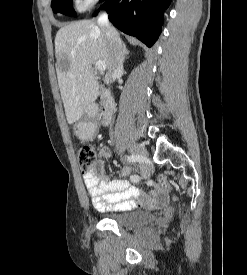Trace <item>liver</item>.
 Wrapping results in <instances>:
<instances>
[{
  "label": "liver",
  "instance_id": "obj_1",
  "mask_svg": "<svg viewBox=\"0 0 247 275\" xmlns=\"http://www.w3.org/2000/svg\"><path fill=\"white\" fill-rule=\"evenodd\" d=\"M56 72L67 122L78 121L99 94L93 64L103 61L110 81V51L101 27L91 20L70 23L55 37ZM65 61V68L61 61Z\"/></svg>",
  "mask_w": 247,
  "mask_h": 275
}]
</instances>
